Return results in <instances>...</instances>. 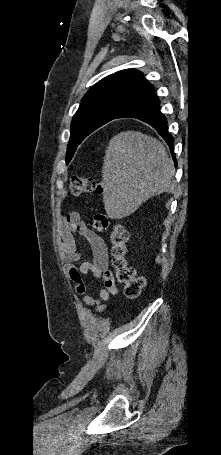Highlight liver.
I'll return each mask as SVG.
<instances>
[{"mask_svg": "<svg viewBox=\"0 0 221 455\" xmlns=\"http://www.w3.org/2000/svg\"><path fill=\"white\" fill-rule=\"evenodd\" d=\"M174 163L163 143L138 131L115 135L102 167L103 203L107 215L122 219L143 202L173 188Z\"/></svg>", "mask_w": 221, "mask_h": 455, "instance_id": "obj_1", "label": "liver"}]
</instances>
